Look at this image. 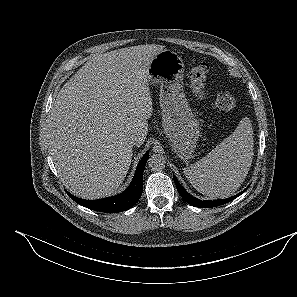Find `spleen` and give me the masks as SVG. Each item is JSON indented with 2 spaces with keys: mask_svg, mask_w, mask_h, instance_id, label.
<instances>
[{
  "mask_svg": "<svg viewBox=\"0 0 297 297\" xmlns=\"http://www.w3.org/2000/svg\"><path fill=\"white\" fill-rule=\"evenodd\" d=\"M253 128L243 118L235 131L205 157L184 168L191 185L212 198L231 196L244 182L253 159Z\"/></svg>",
  "mask_w": 297,
  "mask_h": 297,
  "instance_id": "3e777b00",
  "label": "spleen"
}]
</instances>
